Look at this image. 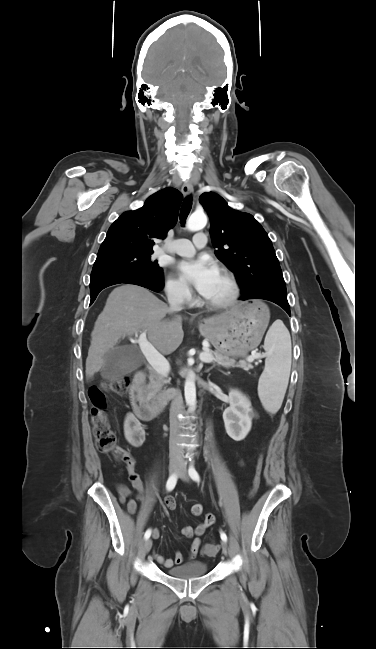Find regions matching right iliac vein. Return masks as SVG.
Listing matches in <instances>:
<instances>
[{
	"label": "right iliac vein",
	"mask_w": 376,
	"mask_h": 649,
	"mask_svg": "<svg viewBox=\"0 0 376 649\" xmlns=\"http://www.w3.org/2000/svg\"><path fill=\"white\" fill-rule=\"evenodd\" d=\"M177 468H178V462H177V461H172V462L170 463V465H169V472L173 474V473H175V471L177 470ZM151 547H152V540H151V539H147V540L145 541V543H144V547H143V551H144V553L147 554V553L150 551Z\"/></svg>",
	"instance_id": "obj_1"
}]
</instances>
